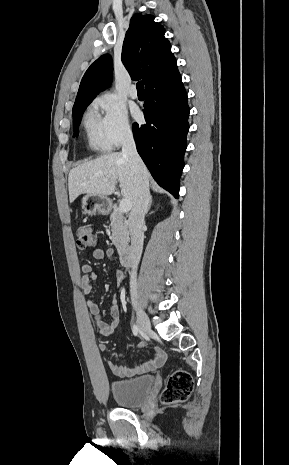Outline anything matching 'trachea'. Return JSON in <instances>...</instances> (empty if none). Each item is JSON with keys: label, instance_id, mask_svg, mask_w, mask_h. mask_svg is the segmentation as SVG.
<instances>
[{"label": "trachea", "instance_id": "1", "mask_svg": "<svg viewBox=\"0 0 289 465\" xmlns=\"http://www.w3.org/2000/svg\"><path fill=\"white\" fill-rule=\"evenodd\" d=\"M136 87H137L138 92H144V83H143V81H139L137 83Z\"/></svg>", "mask_w": 289, "mask_h": 465}]
</instances>
